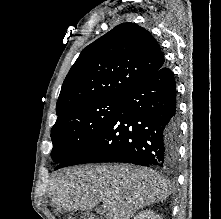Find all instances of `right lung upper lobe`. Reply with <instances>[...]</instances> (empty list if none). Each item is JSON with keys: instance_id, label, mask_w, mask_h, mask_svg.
I'll list each match as a JSON object with an SVG mask.
<instances>
[{"instance_id": "right-lung-upper-lobe-1", "label": "right lung upper lobe", "mask_w": 221, "mask_h": 219, "mask_svg": "<svg viewBox=\"0 0 221 219\" xmlns=\"http://www.w3.org/2000/svg\"><path fill=\"white\" fill-rule=\"evenodd\" d=\"M164 64L149 31L135 23L120 24L81 52L62 85L57 116L85 102L122 98Z\"/></svg>"}]
</instances>
